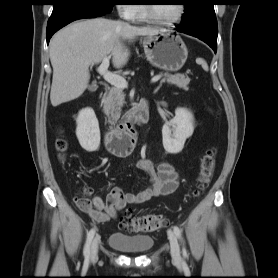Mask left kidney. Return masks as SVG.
<instances>
[{
  "label": "left kidney",
  "mask_w": 278,
  "mask_h": 278,
  "mask_svg": "<svg viewBox=\"0 0 278 278\" xmlns=\"http://www.w3.org/2000/svg\"><path fill=\"white\" fill-rule=\"evenodd\" d=\"M194 131V118L190 111L184 108L175 110V117L165 123L162 128L163 147L166 152L177 154L182 151L187 138Z\"/></svg>",
  "instance_id": "1"
}]
</instances>
